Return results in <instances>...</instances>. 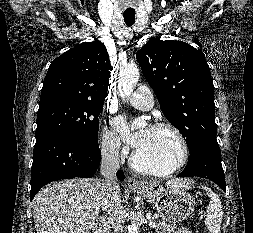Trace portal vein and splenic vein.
<instances>
[{
	"instance_id": "obj_1",
	"label": "portal vein and splenic vein",
	"mask_w": 253,
	"mask_h": 233,
	"mask_svg": "<svg viewBox=\"0 0 253 233\" xmlns=\"http://www.w3.org/2000/svg\"><path fill=\"white\" fill-rule=\"evenodd\" d=\"M149 226H150L151 228H156V227H157V224H156L155 222H150V223H149Z\"/></svg>"
}]
</instances>
